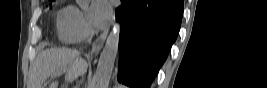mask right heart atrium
Instances as JSON below:
<instances>
[{"mask_svg":"<svg viewBox=\"0 0 267 88\" xmlns=\"http://www.w3.org/2000/svg\"><path fill=\"white\" fill-rule=\"evenodd\" d=\"M58 20L61 39L69 42H80L86 37V23L82 13L77 8H67Z\"/></svg>","mask_w":267,"mask_h":88,"instance_id":"d8ad5b80","label":"right heart atrium"}]
</instances>
